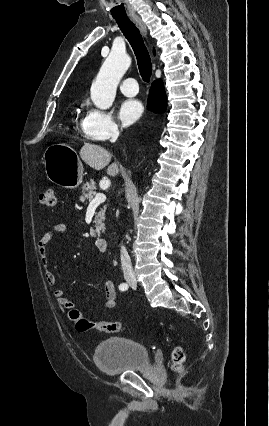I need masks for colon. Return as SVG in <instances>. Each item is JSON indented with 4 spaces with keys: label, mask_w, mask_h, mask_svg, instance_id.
Listing matches in <instances>:
<instances>
[{
    "label": "colon",
    "mask_w": 269,
    "mask_h": 426,
    "mask_svg": "<svg viewBox=\"0 0 269 426\" xmlns=\"http://www.w3.org/2000/svg\"><path fill=\"white\" fill-rule=\"evenodd\" d=\"M40 201L47 207H55L57 205L56 192L52 188L44 190L41 194ZM70 319L74 322L75 328L79 332L99 331L106 333H120L125 330V326L120 322L97 321L84 317L78 309H72L69 313ZM184 353L180 347L174 348L172 352L173 368L175 372L182 371V363L184 361Z\"/></svg>",
    "instance_id": "colon-1"
}]
</instances>
